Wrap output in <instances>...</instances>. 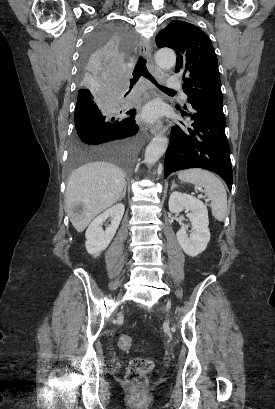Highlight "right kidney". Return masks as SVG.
<instances>
[{"label":"right kidney","mask_w":275,"mask_h":409,"mask_svg":"<svg viewBox=\"0 0 275 409\" xmlns=\"http://www.w3.org/2000/svg\"><path fill=\"white\" fill-rule=\"evenodd\" d=\"M124 211V205H122V202H118V205L107 209V211H104L102 215H98V217L92 221L85 233L87 239L85 247L89 255L99 257L101 251L107 249L120 225ZM109 217H111V225H108L106 231H103L102 225Z\"/></svg>","instance_id":"1"}]
</instances>
